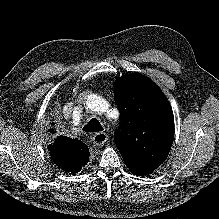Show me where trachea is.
Returning <instances> with one entry per match:
<instances>
[{
  "instance_id": "1",
  "label": "trachea",
  "mask_w": 219,
  "mask_h": 219,
  "mask_svg": "<svg viewBox=\"0 0 219 219\" xmlns=\"http://www.w3.org/2000/svg\"><path fill=\"white\" fill-rule=\"evenodd\" d=\"M85 132H100L103 130L100 122L96 118H92L82 129Z\"/></svg>"
}]
</instances>
